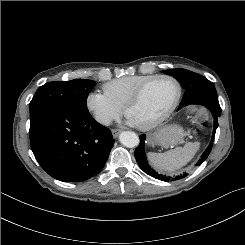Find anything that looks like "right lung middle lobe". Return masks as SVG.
I'll list each match as a JSON object with an SVG mask.
<instances>
[{
  "instance_id": "dd1d6c3e",
  "label": "right lung middle lobe",
  "mask_w": 245,
  "mask_h": 245,
  "mask_svg": "<svg viewBox=\"0 0 245 245\" xmlns=\"http://www.w3.org/2000/svg\"><path fill=\"white\" fill-rule=\"evenodd\" d=\"M94 86L95 81L86 79L48 82L39 87L32 98L30 114L46 107L70 113H87L86 99Z\"/></svg>"
}]
</instances>
